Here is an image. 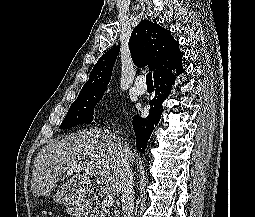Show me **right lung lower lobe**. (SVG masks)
<instances>
[{"mask_svg": "<svg viewBox=\"0 0 255 217\" xmlns=\"http://www.w3.org/2000/svg\"><path fill=\"white\" fill-rule=\"evenodd\" d=\"M172 68H176L178 73H183L181 61H179ZM172 68L154 78L156 88L155 96L150 101L151 108L147 118H141L139 116H135L133 118V128L136 135V147L141 153L145 152L150 135L157 126L163 112L162 103L168 97L172 84L175 81V76L171 73Z\"/></svg>", "mask_w": 255, "mask_h": 217, "instance_id": "right-lung-lower-lobe-1", "label": "right lung lower lobe"}]
</instances>
